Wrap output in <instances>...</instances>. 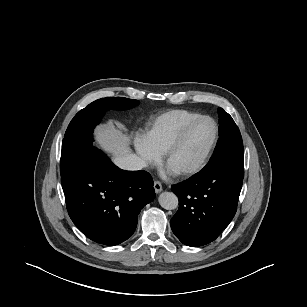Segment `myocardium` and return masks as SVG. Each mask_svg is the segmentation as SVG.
Instances as JSON below:
<instances>
[{"label":"myocardium","instance_id":"obj_1","mask_svg":"<svg viewBox=\"0 0 307 307\" xmlns=\"http://www.w3.org/2000/svg\"><path fill=\"white\" fill-rule=\"evenodd\" d=\"M203 120H208L210 121L213 126H214V136L212 139V142L210 143L207 151L205 152L204 156L202 157V159L200 160V162L198 164H196L195 166L189 168V169H185L179 172H175L176 175L180 176V177H190L193 176L197 173H199L209 162L215 147L218 143L219 140V126L218 123L215 121V119H213L210 116L207 115H201L198 116L190 121H188L180 130L179 132L176 134V136L172 139V141L169 143V145L167 146V148L165 149V151L163 152V161L164 164L167 165V162L170 158V156L172 155V153L176 150V148L180 145V143L182 142V140L184 139V137L187 135V133L189 132V130L196 125L198 122L203 121Z\"/></svg>","mask_w":307,"mask_h":307}]
</instances>
